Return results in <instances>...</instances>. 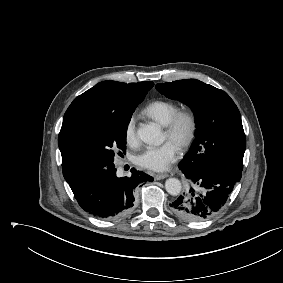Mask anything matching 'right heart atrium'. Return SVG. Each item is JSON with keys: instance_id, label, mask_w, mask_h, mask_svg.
<instances>
[{"instance_id": "obj_1", "label": "right heart atrium", "mask_w": 283, "mask_h": 283, "mask_svg": "<svg viewBox=\"0 0 283 283\" xmlns=\"http://www.w3.org/2000/svg\"><path fill=\"white\" fill-rule=\"evenodd\" d=\"M125 140L129 145H135L138 142L137 130H136V117L132 115L125 126L124 131Z\"/></svg>"}]
</instances>
